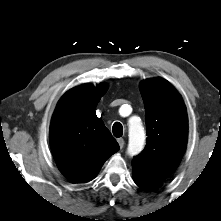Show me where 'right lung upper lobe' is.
I'll return each mask as SVG.
<instances>
[{
  "label": "right lung upper lobe",
  "instance_id": "right-lung-upper-lobe-1",
  "mask_svg": "<svg viewBox=\"0 0 221 221\" xmlns=\"http://www.w3.org/2000/svg\"><path fill=\"white\" fill-rule=\"evenodd\" d=\"M104 86L80 85L59 101L50 126V145L61 173L77 183L92 180L119 145L95 108Z\"/></svg>",
  "mask_w": 221,
  "mask_h": 221
}]
</instances>
